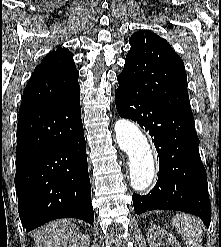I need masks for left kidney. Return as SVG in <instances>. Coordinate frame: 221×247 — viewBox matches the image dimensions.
Here are the masks:
<instances>
[{
	"mask_svg": "<svg viewBox=\"0 0 221 247\" xmlns=\"http://www.w3.org/2000/svg\"><path fill=\"white\" fill-rule=\"evenodd\" d=\"M157 237H160L161 239H166L167 243L171 247H181L173 235L155 225L151 226L150 233L147 236L149 247H158V243L156 242Z\"/></svg>",
	"mask_w": 221,
	"mask_h": 247,
	"instance_id": "left-kidney-1",
	"label": "left kidney"
}]
</instances>
